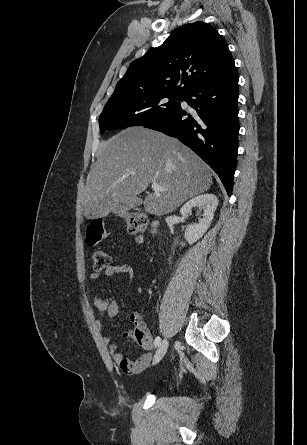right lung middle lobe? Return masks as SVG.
<instances>
[{"instance_id": "right-lung-middle-lobe-1", "label": "right lung middle lobe", "mask_w": 307, "mask_h": 445, "mask_svg": "<svg viewBox=\"0 0 307 445\" xmlns=\"http://www.w3.org/2000/svg\"><path fill=\"white\" fill-rule=\"evenodd\" d=\"M183 99V95L174 94L112 97L99 117L100 132L154 122L179 107Z\"/></svg>"}]
</instances>
